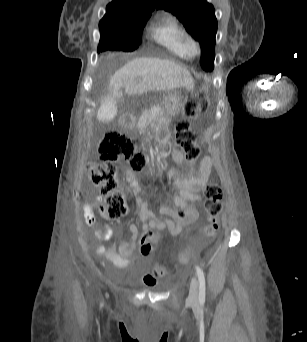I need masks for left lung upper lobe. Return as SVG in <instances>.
Masks as SVG:
<instances>
[{
	"label": "left lung upper lobe",
	"mask_w": 307,
	"mask_h": 342,
	"mask_svg": "<svg viewBox=\"0 0 307 342\" xmlns=\"http://www.w3.org/2000/svg\"><path fill=\"white\" fill-rule=\"evenodd\" d=\"M157 8L174 14L199 41L201 66L205 71L214 67L217 20L214 7L205 0H158Z\"/></svg>",
	"instance_id": "5c2ea615"
}]
</instances>
